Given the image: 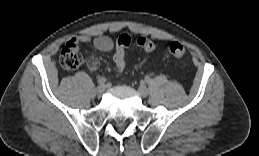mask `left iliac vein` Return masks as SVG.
<instances>
[{
    "label": "left iliac vein",
    "mask_w": 259,
    "mask_h": 156,
    "mask_svg": "<svg viewBox=\"0 0 259 156\" xmlns=\"http://www.w3.org/2000/svg\"><path fill=\"white\" fill-rule=\"evenodd\" d=\"M138 93L141 97L145 98L148 95V90L144 84H141L138 88Z\"/></svg>",
    "instance_id": "1"
}]
</instances>
